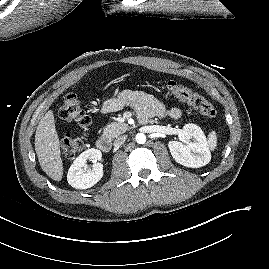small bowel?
Returning <instances> with one entry per match:
<instances>
[{
  "label": "small bowel",
  "instance_id": "obj_1",
  "mask_svg": "<svg viewBox=\"0 0 269 269\" xmlns=\"http://www.w3.org/2000/svg\"><path fill=\"white\" fill-rule=\"evenodd\" d=\"M125 105H130L136 110L141 122H147L156 116L177 119L181 115L179 108L167 109L157 98L139 90H124L115 97L105 100L102 104V112H113Z\"/></svg>",
  "mask_w": 269,
  "mask_h": 269
}]
</instances>
